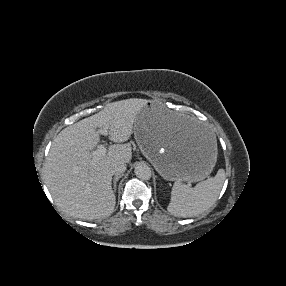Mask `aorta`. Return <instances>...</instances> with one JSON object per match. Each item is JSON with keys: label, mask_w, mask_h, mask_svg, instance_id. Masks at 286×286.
<instances>
[{"label": "aorta", "mask_w": 286, "mask_h": 286, "mask_svg": "<svg viewBox=\"0 0 286 286\" xmlns=\"http://www.w3.org/2000/svg\"><path fill=\"white\" fill-rule=\"evenodd\" d=\"M134 173L136 177L141 180H149L152 175L150 167L144 162H139L136 164Z\"/></svg>", "instance_id": "762f6f07"}]
</instances>
